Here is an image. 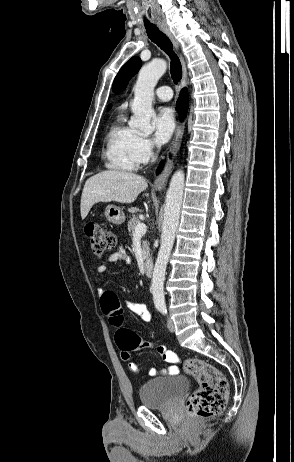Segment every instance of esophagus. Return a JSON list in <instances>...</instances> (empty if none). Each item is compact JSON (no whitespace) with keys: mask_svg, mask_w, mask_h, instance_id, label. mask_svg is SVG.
<instances>
[{"mask_svg":"<svg viewBox=\"0 0 294 462\" xmlns=\"http://www.w3.org/2000/svg\"><path fill=\"white\" fill-rule=\"evenodd\" d=\"M158 26H159L160 30L169 37V39L174 44V46L177 49H179V44H178L177 40L174 38L171 31L169 30V28L167 27V25L164 22H158ZM181 63H182V71H183L182 80H181V87L183 88V87L186 86V83H187V69H186V63H185L184 58L182 56H181ZM182 134H183V127H182V125H179L178 128H177L176 134L174 136V139L172 141V145H171V147L169 149L170 153L175 154L177 152L179 144H180V139L182 137ZM171 168H172V160H170L169 157H168L163 172L154 181V188L156 190H162L164 188V186H165V184L167 182V179L169 177V174L171 172Z\"/></svg>","mask_w":294,"mask_h":462,"instance_id":"1","label":"esophagus"}]
</instances>
